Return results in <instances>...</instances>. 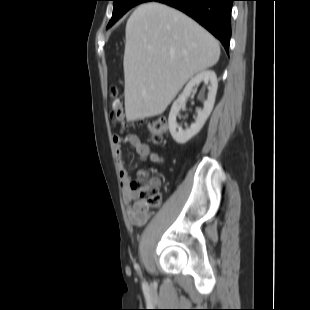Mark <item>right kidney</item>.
Returning a JSON list of instances; mask_svg holds the SVG:
<instances>
[{"mask_svg":"<svg viewBox=\"0 0 310 310\" xmlns=\"http://www.w3.org/2000/svg\"><path fill=\"white\" fill-rule=\"evenodd\" d=\"M210 82L208 86L207 100L204 102L202 110L197 112V118L190 127L183 130L176 122V117L182 107L185 106L187 98L190 96L194 87L200 82ZM218 82L213 70H204L196 74L185 86L182 94L174 101L168 118L169 131L171 136L178 144H185L192 137L200 132L206 120L212 112L217 92Z\"/></svg>","mask_w":310,"mask_h":310,"instance_id":"right-kidney-1","label":"right kidney"}]
</instances>
